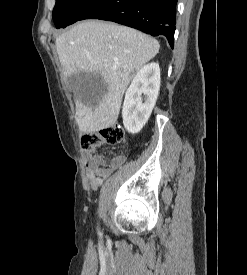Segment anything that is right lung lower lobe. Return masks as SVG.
<instances>
[{
    "mask_svg": "<svg viewBox=\"0 0 247 275\" xmlns=\"http://www.w3.org/2000/svg\"><path fill=\"white\" fill-rule=\"evenodd\" d=\"M177 0H98L79 18L113 21L152 36L164 35L174 46Z\"/></svg>",
    "mask_w": 247,
    "mask_h": 275,
    "instance_id": "right-lung-lower-lobe-1",
    "label": "right lung lower lobe"
}]
</instances>
